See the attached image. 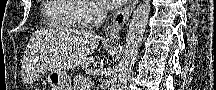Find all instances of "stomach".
Segmentation results:
<instances>
[{"instance_id": "1", "label": "stomach", "mask_w": 216, "mask_h": 90, "mask_svg": "<svg viewBox=\"0 0 216 90\" xmlns=\"http://www.w3.org/2000/svg\"><path fill=\"white\" fill-rule=\"evenodd\" d=\"M48 82L53 90H71V79L65 71H51L48 75Z\"/></svg>"}]
</instances>
